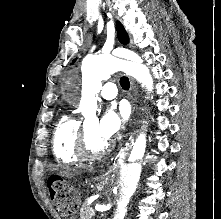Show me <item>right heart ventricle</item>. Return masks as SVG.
Listing matches in <instances>:
<instances>
[{"label":"right heart ventricle","instance_id":"obj_1","mask_svg":"<svg viewBox=\"0 0 221 219\" xmlns=\"http://www.w3.org/2000/svg\"><path fill=\"white\" fill-rule=\"evenodd\" d=\"M80 128V119L72 114H64L57 122L52 136V151L59 164L72 165L81 160L76 153Z\"/></svg>","mask_w":221,"mask_h":219}]
</instances>
